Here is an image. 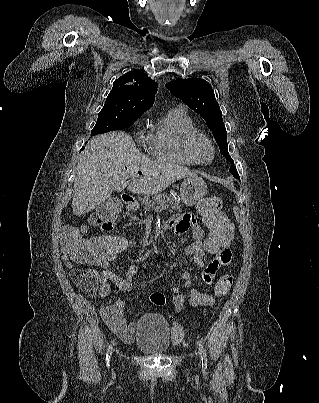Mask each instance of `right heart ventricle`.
<instances>
[{
	"mask_svg": "<svg viewBox=\"0 0 319 403\" xmlns=\"http://www.w3.org/2000/svg\"><path fill=\"white\" fill-rule=\"evenodd\" d=\"M197 127L188 112L181 106L168 110L153 126L149 141L150 154L163 161L180 165L197 162L185 150L186 136Z\"/></svg>",
	"mask_w": 319,
	"mask_h": 403,
	"instance_id": "obj_1",
	"label": "right heart ventricle"
}]
</instances>
